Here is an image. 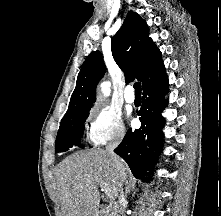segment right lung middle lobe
<instances>
[{
  "label": "right lung middle lobe",
  "instance_id": "right-lung-middle-lobe-1",
  "mask_svg": "<svg viewBox=\"0 0 221 216\" xmlns=\"http://www.w3.org/2000/svg\"><path fill=\"white\" fill-rule=\"evenodd\" d=\"M89 111L90 109L62 119L55 141L56 152L67 151L73 145L83 147L79 144V140L83 134V124L89 115Z\"/></svg>",
  "mask_w": 221,
  "mask_h": 216
}]
</instances>
